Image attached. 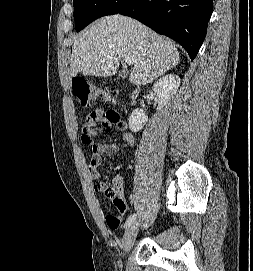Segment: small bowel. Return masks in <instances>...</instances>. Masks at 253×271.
Returning a JSON list of instances; mask_svg holds the SVG:
<instances>
[{"label": "small bowel", "mask_w": 253, "mask_h": 271, "mask_svg": "<svg viewBox=\"0 0 253 271\" xmlns=\"http://www.w3.org/2000/svg\"><path fill=\"white\" fill-rule=\"evenodd\" d=\"M112 128H117L122 132V140L126 147L134 146L135 138L131 131L128 129L127 123L122 119L119 118L118 120H113L109 115L104 117L103 113L99 110L92 111L86 117L81 140L83 144L90 146L92 149V153L88 162V168L90 175L94 180H97L101 177L99 167L102 164L103 156L112 155L118 152L120 147L116 143H95L93 138L96 135L98 129L109 131ZM113 182L121 183V179L117 177ZM94 187L96 190L101 191L99 189L98 183H95Z\"/></svg>", "instance_id": "c3829d8e"}]
</instances>
